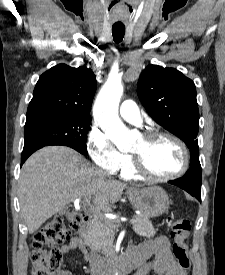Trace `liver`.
Masks as SVG:
<instances>
[{
  "mask_svg": "<svg viewBox=\"0 0 225 275\" xmlns=\"http://www.w3.org/2000/svg\"><path fill=\"white\" fill-rule=\"evenodd\" d=\"M127 188L65 146H47L24 163L19 178V202L30 234L77 198H90L98 210L111 211Z\"/></svg>",
  "mask_w": 225,
  "mask_h": 275,
  "instance_id": "6515ba94",
  "label": "liver"
}]
</instances>
